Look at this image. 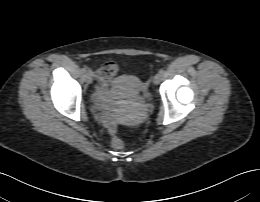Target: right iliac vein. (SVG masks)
Masks as SVG:
<instances>
[{
    "label": "right iliac vein",
    "instance_id": "obj_1",
    "mask_svg": "<svg viewBox=\"0 0 260 202\" xmlns=\"http://www.w3.org/2000/svg\"><path fill=\"white\" fill-rule=\"evenodd\" d=\"M84 79L88 84H90L92 82V74L90 72H86L84 74Z\"/></svg>",
    "mask_w": 260,
    "mask_h": 202
}]
</instances>
